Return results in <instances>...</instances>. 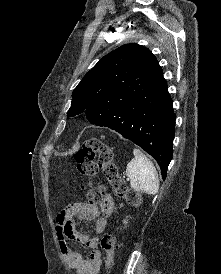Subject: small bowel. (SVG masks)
I'll return each mask as SVG.
<instances>
[{"mask_svg":"<svg viewBox=\"0 0 221 274\" xmlns=\"http://www.w3.org/2000/svg\"><path fill=\"white\" fill-rule=\"evenodd\" d=\"M114 200L106 195L100 205L78 202L61 211L56 218V235L60 251L68 265L76 274H98L101 267V253L98 250V234L106 226L107 219L113 213ZM79 220H95V235H86L75 229ZM68 240L84 244L90 251L83 255L72 249Z\"/></svg>","mask_w":221,"mask_h":274,"instance_id":"c3829d8e","label":"small bowel"}]
</instances>
